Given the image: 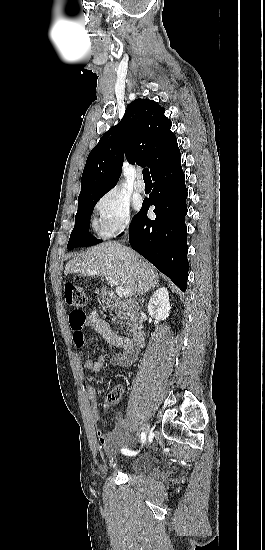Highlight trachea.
<instances>
[{
  "label": "trachea",
  "instance_id": "1",
  "mask_svg": "<svg viewBox=\"0 0 265 550\" xmlns=\"http://www.w3.org/2000/svg\"><path fill=\"white\" fill-rule=\"evenodd\" d=\"M142 174H143L144 180H151V176L148 168L143 169Z\"/></svg>",
  "mask_w": 265,
  "mask_h": 550
}]
</instances>
